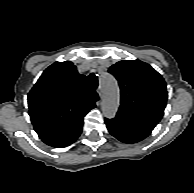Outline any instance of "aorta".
Wrapping results in <instances>:
<instances>
[{
    "label": "aorta",
    "instance_id": "obj_1",
    "mask_svg": "<svg viewBox=\"0 0 194 193\" xmlns=\"http://www.w3.org/2000/svg\"><path fill=\"white\" fill-rule=\"evenodd\" d=\"M100 79L103 90L101 109L105 117L113 118L119 106V87L116 79L109 73H103Z\"/></svg>",
    "mask_w": 194,
    "mask_h": 193
}]
</instances>
